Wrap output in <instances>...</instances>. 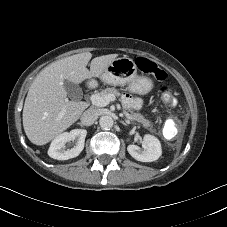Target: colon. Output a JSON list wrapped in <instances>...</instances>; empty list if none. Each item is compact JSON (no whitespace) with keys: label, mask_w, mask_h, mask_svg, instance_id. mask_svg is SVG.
<instances>
[{"label":"colon","mask_w":227,"mask_h":227,"mask_svg":"<svg viewBox=\"0 0 227 227\" xmlns=\"http://www.w3.org/2000/svg\"><path fill=\"white\" fill-rule=\"evenodd\" d=\"M136 64L138 70L142 73L153 75L158 81H164L166 79L165 71L158 68L157 65L151 60L147 58H139ZM158 95L160 99L168 105H174L176 103V98L168 86L160 87Z\"/></svg>","instance_id":"obj_1"}]
</instances>
